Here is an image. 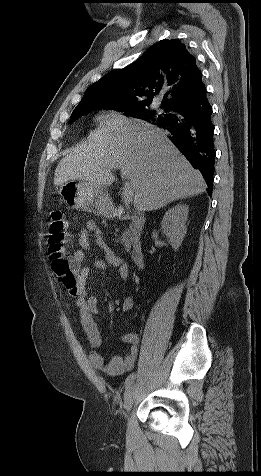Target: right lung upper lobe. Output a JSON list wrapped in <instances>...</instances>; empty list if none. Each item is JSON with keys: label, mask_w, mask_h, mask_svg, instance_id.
<instances>
[{"label": "right lung upper lobe", "mask_w": 261, "mask_h": 476, "mask_svg": "<svg viewBox=\"0 0 261 476\" xmlns=\"http://www.w3.org/2000/svg\"><path fill=\"white\" fill-rule=\"evenodd\" d=\"M203 87L195 57L179 40L164 39L131 65L93 83L77 107L105 104L136 108L150 105L154 96L166 92L162 106L172 108L192 99Z\"/></svg>", "instance_id": "right-lung-upper-lobe-1"}]
</instances>
